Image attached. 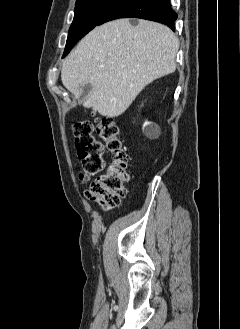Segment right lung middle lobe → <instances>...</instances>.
Wrapping results in <instances>:
<instances>
[{
    "label": "right lung middle lobe",
    "instance_id": "dd1d6c3e",
    "mask_svg": "<svg viewBox=\"0 0 240 329\" xmlns=\"http://www.w3.org/2000/svg\"><path fill=\"white\" fill-rule=\"evenodd\" d=\"M121 0H77L63 57Z\"/></svg>",
    "mask_w": 240,
    "mask_h": 329
}]
</instances>
